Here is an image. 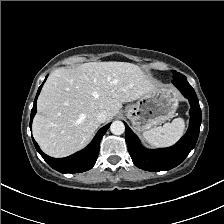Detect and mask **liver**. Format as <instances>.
<instances>
[{
  "label": "liver",
  "mask_w": 224,
  "mask_h": 224,
  "mask_svg": "<svg viewBox=\"0 0 224 224\" xmlns=\"http://www.w3.org/2000/svg\"><path fill=\"white\" fill-rule=\"evenodd\" d=\"M158 85L127 62H89L53 71L37 101L33 136L47 155L69 156L82 149L98 129L97 113L113 118L125 102L135 101Z\"/></svg>",
  "instance_id": "6515ba94"
}]
</instances>
